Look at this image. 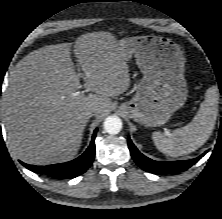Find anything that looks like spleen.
<instances>
[{"label": "spleen", "mask_w": 222, "mask_h": 219, "mask_svg": "<svg viewBox=\"0 0 222 219\" xmlns=\"http://www.w3.org/2000/svg\"><path fill=\"white\" fill-rule=\"evenodd\" d=\"M218 103L217 88L213 86L206 91L205 101L190 123L172 132L152 134L157 149L168 156L178 157L200 148L215 127Z\"/></svg>", "instance_id": "spleen-1"}]
</instances>
